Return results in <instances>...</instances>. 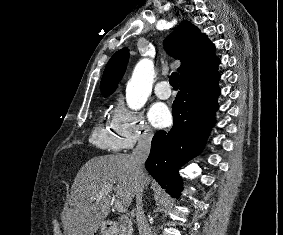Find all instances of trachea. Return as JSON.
Wrapping results in <instances>:
<instances>
[{"instance_id": "3493384b", "label": "trachea", "mask_w": 283, "mask_h": 235, "mask_svg": "<svg viewBox=\"0 0 283 235\" xmlns=\"http://www.w3.org/2000/svg\"><path fill=\"white\" fill-rule=\"evenodd\" d=\"M179 74L173 72L170 76L169 83L174 89H178Z\"/></svg>"}]
</instances>
